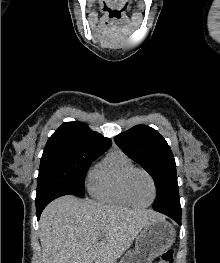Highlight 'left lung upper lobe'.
I'll return each instance as SVG.
<instances>
[{"mask_svg": "<svg viewBox=\"0 0 220 263\" xmlns=\"http://www.w3.org/2000/svg\"><path fill=\"white\" fill-rule=\"evenodd\" d=\"M114 140L129 158L152 176L156 186L153 209L181 211L175 159L165 139L149 126L136 125Z\"/></svg>", "mask_w": 220, "mask_h": 263, "instance_id": "5c2ea615", "label": "left lung upper lobe"}]
</instances>
